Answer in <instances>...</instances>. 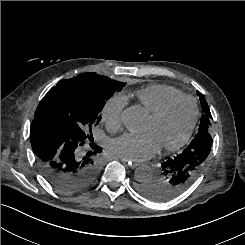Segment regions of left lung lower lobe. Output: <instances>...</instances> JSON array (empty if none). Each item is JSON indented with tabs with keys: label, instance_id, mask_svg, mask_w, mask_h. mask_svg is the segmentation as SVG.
<instances>
[{
	"label": "left lung lower lobe",
	"instance_id": "0a47b994",
	"mask_svg": "<svg viewBox=\"0 0 245 245\" xmlns=\"http://www.w3.org/2000/svg\"><path fill=\"white\" fill-rule=\"evenodd\" d=\"M212 142L209 133L196 136L180 154L164 161L160 173L140 185V192L156 202H166L183 193L203 170Z\"/></svg>",
	"mask_w": 245,
	"mask_h": 245
}]
</instances>
